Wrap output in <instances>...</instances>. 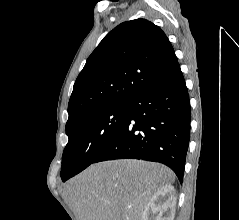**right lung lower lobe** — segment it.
<instances>
[{
	"mask_svg": "<svg viewBox=\"0 0 239 220\" xmlns=\"http://www.w3.org/2000/svg\"><path fill=\"white\" fill-rule=\"evenodd\" d=\"M190 102L178 62L127 103V116L93 163L143 159L170 167L183 181Z\"/></svg>",
	"mask_w": 239,
	"mask_h": 220,
	"instance_id": "98d812e1",
	"label": "right lung lower lobe"
}]
</instances>
